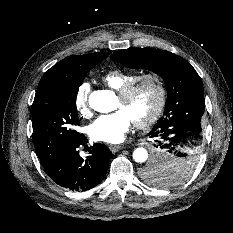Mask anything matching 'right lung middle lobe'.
<instances>
[{"mask_svg": "<svg viewBox=\"0 0 233 233\" xmlns=\"http://www.w3.org/2000/svg\"><path fill=\"white\" fill-rule=\"evenodd\" d=\"M94 63L72 75L59 85H53L35 96L32 105L33 139L40 160L58 156L83 134L75 127L79 125L76 108L78 88Z\"/></svg>", "mask_w": 233, "mask_h": 233, "instance_id": "dd1d6c3e", "label": "right lung middle lobe"}]
</instances>
